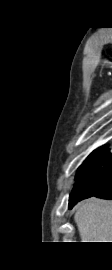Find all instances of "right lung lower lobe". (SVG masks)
I'll return each instance as SVG.
<instances>
[{
	"label": "right lung lower lobe",
	"mask_w": 112,
	"mask_h": 270,
	"mask_svg": "<svg viewBox=\"0 0 112 270\" xmlns=\"http://www.w3.org/2000/svg\"><path fill=\"white\" fill-rule=\"evenodd\" d=\"M84 194L69 201L71 209L77 202L95 196L112 199V154H107L102 163L82 179Z\"/></svg>",
	"instance_id": "1"
}]
</instances>
